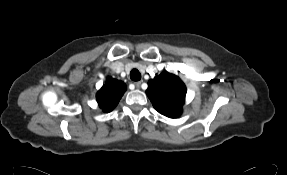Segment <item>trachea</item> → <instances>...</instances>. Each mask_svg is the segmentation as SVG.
Wrapping results in <instances>:
<instances>
[{"instance_id": "obj_1", "label": "trachea", "mask_w": 287, "mask_h": 175, "mask_svg": "<svg viewBox=\"0 0 287 175\" xmlns=\"http://www.w3.org/2000/svg\"><path fill=\"white\" fill-rule=\"evenodd\" d=\"M130 78L133 81H139L141 79V74L137 69H133L130 72Z\"/></svg>"}]
</instances>
